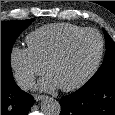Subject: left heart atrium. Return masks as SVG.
Here are the masks:
<instances>
[{"mask_svg": "<svg viewBox=\"0 0 115 115\" xmlns=\"http://www.w3.org/2000/svg\"><path fill=\"white\" fill-rule=\"evenodd\" d=\"M59 87V84L56 82V80L48 75L45 77L39 84V88L42 90L52 91Z\"/></svg>", "mask_w": 115, "mask_h": 115, "instance_id": "obj_1", "label": "left heart atrium"}]
</instances>
